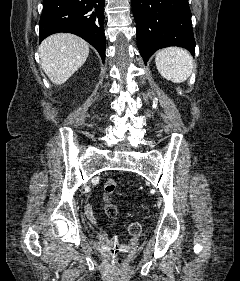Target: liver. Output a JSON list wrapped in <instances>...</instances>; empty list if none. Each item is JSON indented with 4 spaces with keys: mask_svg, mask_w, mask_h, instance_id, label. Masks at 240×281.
<instances>
[{
    "mask_svg": "<svg viewBox=\"0 0 240 281\" xmlns=\"http://www.w3.org/2000/svg\"><path fill=\"white\" fill-rule=\"evenodd\" d=\"M41 67L56 85L64 84L86 61L89 44L69 33L47 37L40 45Z\"/></svg>",
    "mask_w": 240,
    "mask_h": 281,
    "instance_id": "1",
    "label": "liver"
}]
</instances>
